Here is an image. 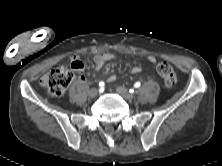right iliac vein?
<instances>
[{
    "mask_svg": "<svg viewBox=\"0 0 222 166\" xmlns=\"http://www.w3.org/2000/svg\"><path fill=\"white\" fill-rule=\"evenodd\" d=\"M98 94V90L96 88H92L89 90V96L90 97H96Z\"/></svg>",
    "mask_w": 222,
    "mask_h": 166,
    "instance_id": "63e3f726",
    "label": "right iliac vein"
}]
</instances>
